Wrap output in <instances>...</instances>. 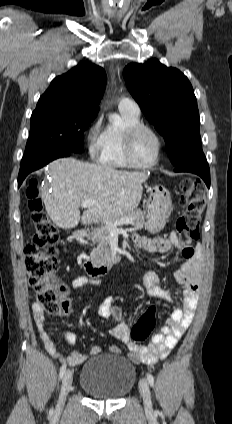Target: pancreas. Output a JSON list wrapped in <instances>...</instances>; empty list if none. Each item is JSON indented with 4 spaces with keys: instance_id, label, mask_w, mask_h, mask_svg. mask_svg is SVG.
Returning <instances> with one entry per match:
<instances>
[{
    "instance_id": "cf45deb5",
    "label": "pancreas",
    "mask_w": 232,
    "mask_h": 424,
    "mask_svg": "<svg viewBox=\"0 0 232 424\" xmlns=\"http://www.w3.org/2000/svg\"><path fill=\"white\" fill-rule=\"evenodd\" d=\"M131 218L132 222L130 223L134 229H141L146 225L145 222V213L140 209L125 213L120 217L109 221L107 224L113 223L121 218ZM107 224L103 227H98L93 229L91 233V241L95 244L97 243V247L91 251V258L94 262L104 263L110 259V250L108 248V241L111 235V231L108 229Z\"/></svg>"
}]
</instances>
